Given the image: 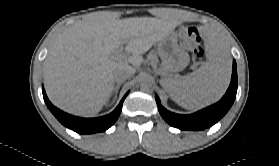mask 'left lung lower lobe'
<instances>
[{"label":"left lung lower lobe","instance_id":"obj_1","mask_svg":"<svg viewBox=\"0 0 279 166\" xmlns=\"http://www.w3.org/2000/svg\"><path fill=\"white\" fill-rule=\"evenodd\" d=\"M237 93V66L235 60L233 61V71L230 86L223 96V98L203 110L194 114L181 115L175 114L166 110L161 104L158 96L156 95V102L161 116L171 126L181 130H203L211 127L218 122L231 108Z\"/></svg>","mask_w":279,"mask_h":166}]
</instances>
